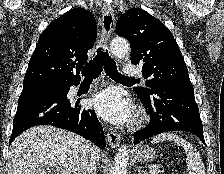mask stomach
I'll return each instance as SVG.
<instances>
[{
  "instance_id": "obj_1",
  "label": "stomach",
  "mask_w": 224,
  "mask_h": 174,
  "mask_svg": "<svg viewBox=\"0 0 224 174\" xmlns=\"http://www.w3.org/2000/svg\"><path fill=\"white\" fill-rule=\"evenodd\" d=\"M155 151L151 147H143L136 151L135 158L142 162H150L155 158Z\"/></svg>"
}]
</instances>
